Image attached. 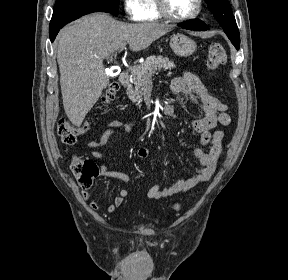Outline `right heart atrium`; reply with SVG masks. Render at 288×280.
<instances>
[{
	"label": "right heart atrium",
	"mask_w": 288,
	"mask_h": 280,
	"mask_svg": "<svg viewBox=\"0 0 288 280\" xmlns=\"http://www.w3.org/2000/svg\"><path fill=\"white\" fill-rule=\"evenodd\" d=\"M143 0H122V7L126 17L132 21H139L143 13Z\"/></svg>",
	"instance_id": "obj_1"
}]
</instances>
